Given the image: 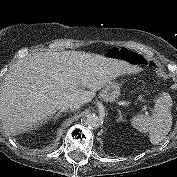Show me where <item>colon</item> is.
Returning a JSON list of instances; mask_svg holds the SVG:
<instances>
[{
    "instance_id": "obj_1",
    "label": "colon",
    "mask_w": 177,
    "mask_h": 177,
    "mask_svg": "<svg viewBox=\"0 0 177 177\" xmlns=\"http://www.w3.org/2000/svg\"><path fill=\"white\" fill-rule=\"evenodd\" d=\"M150 65L152 66V67H154V68H156L157 66H156V64L155 63H153V62H151L150 63Z\"/></svg>"
}]
</instances>
